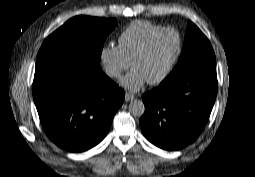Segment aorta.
<instances>
[{
  "mask_svg": "<svg viewBox=\"0 0 255 177\" xmlns=\"http://www.w3.org/2000/svg\"><path fill=\"white\" fill-rule=\"evenodd\" d=\"M129 111L133 116L140 117L144 114L145 105L142 100H131V102L129 103Z\"/></svg>",
  "mask_w": 255,
  "mask_h": 177,
  "instance_id": "1",
  "label": "aorta"
}]
</instances>
